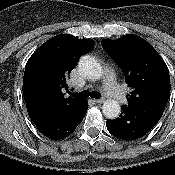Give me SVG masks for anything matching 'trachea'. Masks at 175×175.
Here are the masks:
<instances>
[{"label":"trachea","mask_w":175,"mask_h":175,"mask_svg":"<svg viewBox=\"0 0 175 175\" xmlns=\"http://www.w3.org/2000/svg\"><path fill=\"white\" fill-rule=\"evenodd\" d=\"M75 97L78 98H86V97H92L95 99H99L100 98V94L96 91H90V90H84L79 94H74Z\"/></svg>","instance_id":"trachea-1"}]
</instances>
